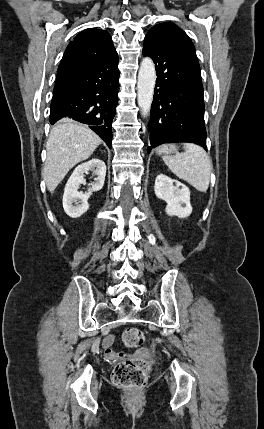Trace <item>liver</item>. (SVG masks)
Listing matches in <instances>:
<instances>
[{"label":"liver","mask_w":264,"mask_h":429,"mask_svg":"<svg viewBox=\"0 0 264 429\" xmlns=\"http://www.w3.org/2000/svg\"><path fill=\"white\" fill-rule=\"evenodd\" d=\"M102 142L86 125L63 119L50 131L43 178L53 192L77 163L88 159Z\"/></svg>","instance_id":"obj_1"}]
</instances>
